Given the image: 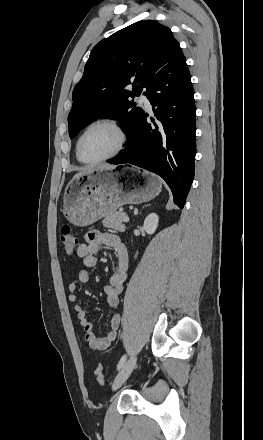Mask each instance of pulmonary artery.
I'll list each match as a JSON object with an SVG mask.
<instances>
[{
  "label": "pulmonary artery",
  "instance_id": "e3ab8cb5",
  "mask_svg": "<svg viewBox=\"0 0 263 440\" xmlns=\"http://www.w3.org/2000/svg\"><path fill=\"white\" fill-rule=\"evenodd\" d=\"M139 102L142 103L146 109L151 110L150 101L145 93H142L139 97Z\"/></svg>",
  "mask_w": 263,
  "mask_h": 440
}]
</instances>
